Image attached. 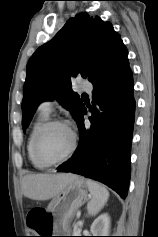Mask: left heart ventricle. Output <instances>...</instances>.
Returning <instances> with one entry per match:
<instances>
[{"instance_id":"b2bd125f","label":"left heart ventricle","mask_w":158,"mask_h":237,"mask_svg":"<svg viewBox=\"0 0 158 237\" xmlns=\"http://www.w3.org/2000/svg\"><path fill=\"white\" fill-rule=\"evenodd\" d=\"M71 141V134L66 127L54 126L41 139L40 151L48 159H58L67 153Z\"/></svg>"}]
</instances>
